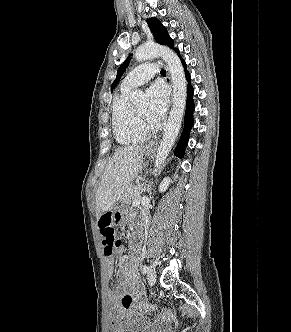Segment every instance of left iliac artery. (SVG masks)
<instances>
[{
  "mask_svg": "<svg viewBox=\"0 0 291 332\" xmlns=\"http://www.w3.org/2000/svg\"><path fill=\"white\" fill-rule=\"evenodd\" d=\"M149 267L147 265L142 266V271L144 274L148 273Z\"/></svg>",
  "mask_w": 291,
  "mask_h": 332,
  "instance_id": "obj_1",
  "label": "left iliac artery"
}]
</instances>
